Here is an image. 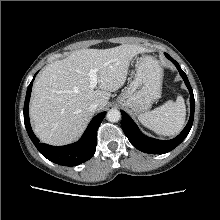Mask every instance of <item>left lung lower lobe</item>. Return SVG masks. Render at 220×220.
I'll return each mask as SVG.
<instances>
[{"label":"left lung lower lobe","mask_w":220,"mask_h":220,"mask_svg":"<svg viewBox=\"0 0 220 220\" xmlns=\"http://www.w3.org/2000/svg\"><path fill=\"white\" fill-rule=\"evenodd\" d=\"M165 56L174 63L190 92L191 113L189 121L183 131L177 137L171 140H156L149 138L143 135L133 120L124 111L121 110L122 128L125 135L128 137V140L138 150L150 154H164L176 148L188 135L194 119V95L188 78L181 69L180 65L173 58H171L167 53H165Z\"/></svg>","instance_id":"left-lung-lower-lobe-1"}]
</instances>
